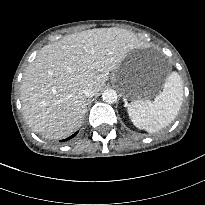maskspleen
I'll return each instance as SVG.
<instances>
[{
  "mask_svg": "<svg viewBox=\"0 0 205 205\" xmlns=\"http://www.w3.org/2000/svg\"><path fill=\"white\" fill-rule=\"evenodd\" d=\"M182 102L183 82L177 72H172L165 80L163 91L154 101H132L128 104L127 112L137 128L154 133L175 119Z\"/></svg>",
  "mask_w": 205,
  "mask_h": 205,
  "instance_id": "3e777b00",
  "label": "spleen"
}]
</instances>
